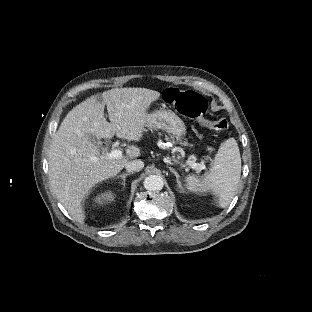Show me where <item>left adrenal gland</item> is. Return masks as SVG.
Instances as JSON below:
<instances>
[{"label":"left adrenal gland","mask_w":312,"mask_h":312,"mask_svg":"<svg viewBox=\"0 0 312 312\" xmlns=\"http://www.w3.org/2000/svg\"><path fill=\"white\" fill-rule=\"evenodd\" d=\"M169 170L175 175L176 181H177V185H178V187L181 189L179 192L182 193V192H183V189H182L181 182H180V180H179L180 175L178 174L177 171H175V169H173V168H171V167L169 168Z\"/></svg>","instance_id":"1"}]
</instances>
